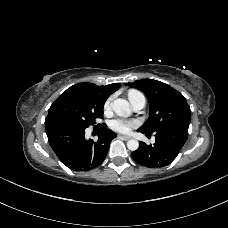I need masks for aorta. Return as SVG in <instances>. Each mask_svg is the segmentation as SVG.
Segmentation results:
<instances>
[{"label": "aorta", "mask_w": 228, "mask_h": 228, "mask_svg": "<svg viewBox=\"0 0 228 228\" xmlns=\"http://www.w3.org/2000/svg\"><path fill=\"white\" fill-rule=\"evenodd\" d=\"M111 107L119 116H129L131 114L130 104L125 99H115ZM127 148L131 151H136L139 148V142L135 139H131L127 142Z\"/></svg>", "instance_id": "762f6f07"}]
</instances>
